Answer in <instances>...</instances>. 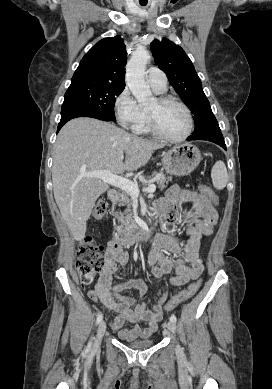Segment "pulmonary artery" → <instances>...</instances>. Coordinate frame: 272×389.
<instances>
[{"label": "pulmonary artery", "instance_id": "obj_1", "mask_svg": "<svg viewBox=\"0 0 272 389\" xmlns=\"http://www.w3.org/2000/svg\"><path fill=\"white\" fill-rule=\"evenodd\" d=\"M147 81L156 93H164L167 90V77L163 71L151 67L148 69Z\"/></svg>", "mask_w": 272, "mask_h": 389}]
</instances>
